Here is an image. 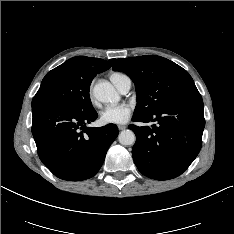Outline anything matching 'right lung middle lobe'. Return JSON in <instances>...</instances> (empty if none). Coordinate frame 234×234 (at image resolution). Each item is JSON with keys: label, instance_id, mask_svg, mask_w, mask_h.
Masks as SVG:
<instances>
[{"label": "right lung middle lobe", "instance_id": "1", "mask_svg": "<svg viewBox=\"0 0 234 234\" xmlns=\"http://www.w3.org/2000/svg\"><path fill=\"white\" fill-rule=\"evenodd\" d=\"M94 77L82 74L67 60L44 77L32 100V107L57 105L73 111H90L93 106L89 88Z\"/></svg>", "mask_w": 234, "mask_h": 234}]
</instances>
